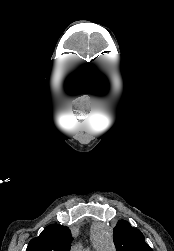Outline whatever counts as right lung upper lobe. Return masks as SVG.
<instances>
[{"label":"right lung upper lobe","mask_w":174,"mask_h":251,"mask_svg":"<svg viewBox=\"0 0 174 251\" xmlns=\"http://www.w3.org/2000/svg\"><path fill=\"white\" fill-rule=\"evenodd\" d=\"M71 240L68 227L51 224L29 242L26 251H70Z\"/></svg>","instance_id":"1"}]
</instances>
